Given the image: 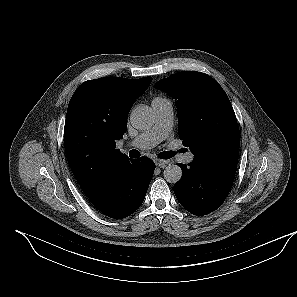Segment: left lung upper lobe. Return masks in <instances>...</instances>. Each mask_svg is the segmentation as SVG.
I'll return each mask as SVG.
<instances>
[{
  "label": "left lung upper lobe",
  "mask_w": 297,
  "mask_h": 297,
  "mask_svg": "<svg viewBox=\"0 0 297 297\" xmlns=\"http://www.w3.org/2000/svg\"><path fill=\"white\" fill-rule=\"evenodd\" d=\"M175 100L179 137L202 164L238 150L240 135L232 105L222 87L200 72H180L158 81Z\"/></svg>",
  "instance_id": "5c2ea615"
}]
</instances>
